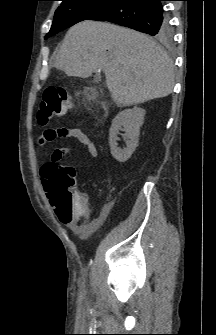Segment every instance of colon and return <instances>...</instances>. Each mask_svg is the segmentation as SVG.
Segmentation results:
<instances>
[{
  "instance_id": "obj_1",
  "label": "colon",
  "mask_w": 216,
  "mask_h": 335,
  "mask_svg": "<svg viewBox=\"0 0 216 335\" xmlns=\"http://www.w3.org/2000/svg\"><path fill=\"white\" fill-rule=\"evenodd\" d=\"M79 99L69 94L61 87H48L42 97L38 112L37 121L40 126H46L57 116L65 114L72 107L78 104ZM60 154H64L65 150H59ZM53 166L51 170V180L49 186L50 196L55 201L57 211L62 214V218L70 215L77 207L72 189L76 181V172L71 167H64L53 162L45 165L47 170Z\"/></svg>"
}]
</instances>
